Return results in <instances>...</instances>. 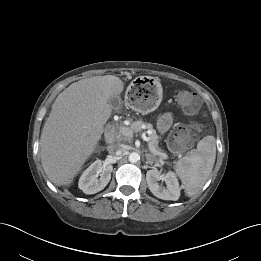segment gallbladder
I'll use <instances>...</instances> for the list:
<instances>
[{"mask_svg": "<svg viewBox=\"0 0 261 261\" xmlns=\"http://www.w3.org/2000/svg\"><path fill=\"white\" fill-rule=\"evenodd\" d=\"M109 105L111 106L112 109L119 108L122 104L121 100L117 96H113L108 100Z\"/></svg>", "mask_w": 261, "mask_h": 261, "instance_id": "1", "label": "gallbladder"}]
</instances>
